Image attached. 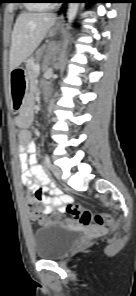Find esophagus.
Wrapping results in <instances>:
<instances>
[{
	"mask_svg": "<svg viewBox=\"0 0 136 296\" xmlns=\"http://www.w3.org/2000/svg\"><path fill=\"white\" fill-rule=\"evenodd\" d=\"M60 19H62V14L60 15V17H59Z\"/></svg>",
	"mask_w": 136,
	"mask_h": 296,
	"instance_id": "obj_1",
	"label": "esophagus"
}]
</instances>
